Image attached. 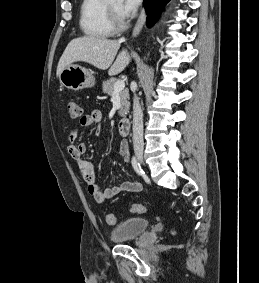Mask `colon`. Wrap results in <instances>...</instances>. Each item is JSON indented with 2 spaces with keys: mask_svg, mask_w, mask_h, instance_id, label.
I'll return each instance as SVG.
<instances>
[{
  "mask_svg": "<svg viewBox=\"0 0 259 283\" xmlns=\"http://www.w3.org/2000/svg\"><path fill=\"white\" fill-rule=\"evenodd\" d=\"M69 115L73 119H81L83 117V111L80 104L74 100L68 102ZM146 211V207L141 203H134L131 206V212L135 214H142ZM106 222L109 225L116 223V217L112 213L106 215Z\"/></svg>",
  "mask_w": 259,
  "mask_h": 283,
  "instance_id": "colon-1",
  "label": "colon"
}]
</instances>
